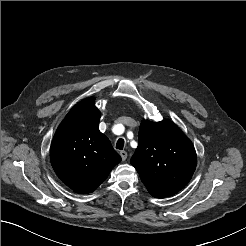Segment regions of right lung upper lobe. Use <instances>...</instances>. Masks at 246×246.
Here are the masks:
<instances>
[{
  "label": "right lung upper lobe",
  "mask_w": 246,
  "mask_h": 246,
  "mask_svg": "<svg viewBox=\"0 0 246 246\" xmlns=\"http://www.w3.org/2000/svg\"><path fill=\"white\" fill-rule=\"evenodd\" d=\"M100 111L94 99L76 104L59 125L50 148L54 171L78 193L93 192L121 161L99 131Z\"/></svg>",
  "instance_id": "right-lung-upper-lobe-1"
}]
</instances>
